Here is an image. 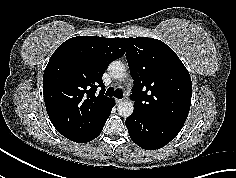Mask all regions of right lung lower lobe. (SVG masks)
I'll return each instance as SVG.
<instances>
[{"label": "right lung lower lobe", "mask_w": 236, "mask_h": 178, "mask_svg": "<svg viewBox=\"0 0 236 178\" xmlns=\"http://www.w3.org/2000/svg\"><path fill=\"white\" fill-rule=\"evenodd\" d=\"M111 112L109 113V115L107 116V118L110 116ZM107 118L103 121V123L96 129L94 130L92 133L86 135V136H83V137H80V138H76V139H73L72 141L74 142H78V143H86V142H89L91 140H93L94 138L98 137V135L101 133L103 127H104V124L107 120Z\"/></svg>", "instance_id": "1"}]
</instances>
